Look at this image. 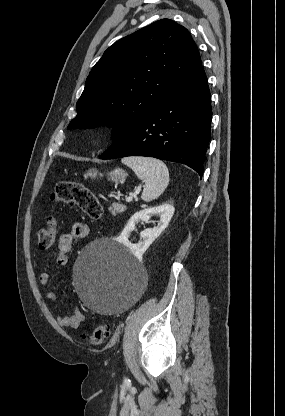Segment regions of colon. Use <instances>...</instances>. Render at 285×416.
I'll return each instance as SVG.
<instances>
[{"instance_id":"obj_1","label":"colon","mask_w":285,"mask_h":416,"mask_svg":"<svg viewBox=\"0 0 285 416\" xmlns=\"http://www.w3.org/2000/svg\"><path fill=\"white\" fill-rule=\"evenodd\" d=\"M51 200L55 203H66L78 207L90 219L100 220L103 217V206L92 190L75 181H61L56 184L51 194ZM58 233V225L54 216L47 218V224L38 233L37 247L39 250H47L53 246ZM110 332L107 323L99 324L88 335V340L93 345L102 344Z\"/></svg>"}]
</instances>
